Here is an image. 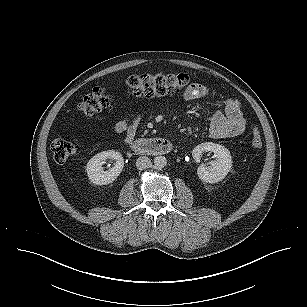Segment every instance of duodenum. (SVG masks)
Wrapping results in <instances>:
<instances>
[{"label": "duodenum", "mask_w": 307, "mask_h": 307, "mask_svg": "<svg viewBox=\"0 0 307 307\" xmlns=\"http://www.w3.org/2000/svg\"><path fill=\"white\" fill-rule=\"evenodd\" d=\"M130 147L137 153L161 156L171 152L172 144L165 138H146L133 140Z\"/></svg>", "instance_id": "410a0bca"}]
</instances>
